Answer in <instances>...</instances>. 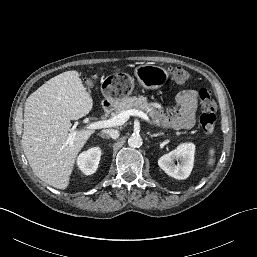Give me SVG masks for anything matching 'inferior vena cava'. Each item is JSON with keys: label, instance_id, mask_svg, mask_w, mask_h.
<instances>
[{"label": "inferior vena cava", "instance_id": "inferior-vena-cava-1", "mask_svg": "<svg viewBox=\"0 0 257 257\" xmlns=\"http://www.w3.org/2000/svg\"><path fill=\"white\" fill-rule=\"evenodd\" d=\"M102 134H106L108 137L112 139H117L119 137V131L115 129H104L102 130Z\"/></svg>", "mask_w": 257, "mask_h": 257}]
</instances>
